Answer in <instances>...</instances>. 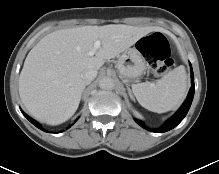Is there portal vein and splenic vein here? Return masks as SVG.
Instances as JSON below:
<instances>
[{
	"mask_svg": "<svg viewBox=\"0 0 219 174\" xmlns=\"http://www.w3.org/2000/svg\"><path fill=\"white\" fill-rule=\"evenodd\" d=\"M101 42L98 40L94 43L93 48L88 52L89 56H93L95 55V53L97 52V50L100 48Z\"/></svg>",
	"mask_w": 219,
	"mask_h": 174,
	"instance_id": "18ae733b",
	"label": "portal vein and splenic vein"
}]
</instances>
